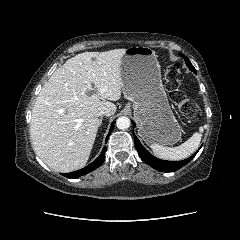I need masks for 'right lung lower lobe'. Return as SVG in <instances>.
Instances as JSON below:
<instances>
[{
  "mask_svg": "<svg viewBox=\"0 0 240 240\" xmlns=\"http://www.w3.org/2000/svg\"><path fill=\"white\" fill-rule=\"evenodd\" d=\"M114 128V123H112L111 127H110V131H109V134L107 136V139L106 141L108 140V137L110 135V133L112 132ZM107 150V147L104 146L103 147V150L101 152V154L99 155V157L94 161L92 162L91 164H89L88 166L78 170V171H75V172H71V173H67V174H64V176L68 177V178H77V177H80L82 175H85L93 170H95L96 168H98L99 166L102 165V163L104 162L105 160V152Z\"/></svg>",
  "mask_w": 240,
  "mask_h": 240,
  "instance_id": "98d812e1",
  "label": "right lung lower lobe"
}]
</instances>
